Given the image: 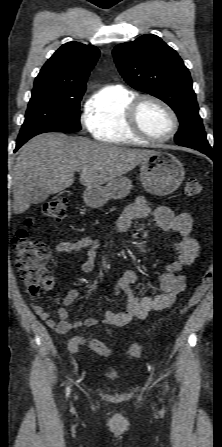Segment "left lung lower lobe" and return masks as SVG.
I'll use <instances>...</instances> for the list:
<instances>
[{
	"label": "left lung lower lobe",
	"mask_w": 222,
	"mask_h": 447,
	"mask_svg": "<svg viewBox=\"0 0 222 447\" xmlns=\"http://www.w3.org/2000/svg\"><path fill=\"white\" fill-rule=\"evenodd\" d=\"M209 147H210V146H209ZM193 149H198L200 152H202V153L208 155L209 157H212V156H213V155H212V149H211V147H210L209 149H207V148H202V147H200V148H193Z\"/></svg>",
	"instance_id": "left-lung-lower-lobe-1"
}]
</instances>
